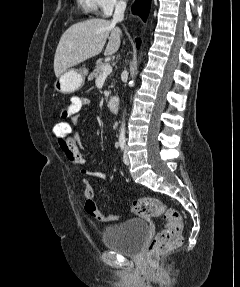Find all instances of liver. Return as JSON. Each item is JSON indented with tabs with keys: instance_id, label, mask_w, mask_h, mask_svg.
I'll use <instances>...</instances> for the list:
<instances>
[{
	"instance_id": "obj_1",
	"label": "liver",
	"mask_w": 240,
	"mask_h": 287,
	"mask_svg": "<svg viewBox=\"0 0 240 287\" xmlns=\"http://www.w3.org/2000/svg\"><path fill=\"white\" fill-rule=\"evenodd\" d=\"M121 30L106 19H89L69 27L61 36L54 57L56 77L68 68L98 55L107 41L105 55L115 53L120 46Z\"/></svg>"
}]
</instances>
